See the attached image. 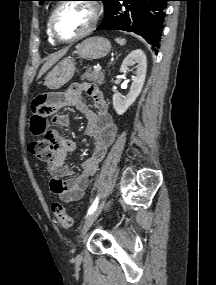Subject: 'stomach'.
Wrapping results in <instances>:
<instances>
[{
  "mask_svg": "<svg viewBox=\"0 0 216 285\" xmlns=\"http://www.w3.org/2000/svg\"><path fill=\"white\" fill-rule=\"evenodd\" d=\"M111 49V44L104 37H90L76 46L75 54L83 59H99L105 57ZM76 71L75 60L67 57L60 61L46 76L45 85L52 90L60 89L67 84Z\"/></svg>",
  "mask_w": 216,
  "mask_h": 285,
  "instance_id": "obj_1",
  "label": "stomach"
}]
</instances>
